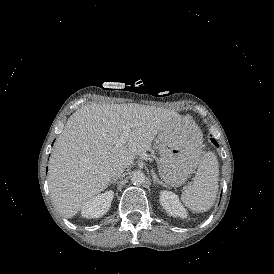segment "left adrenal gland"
Wrapping results in <instances>:
<instances>
[{"label": "left adrenal gland", "instance_id": "left-adrenal-gland-1", "mask_svg": "<svg viewBox=\"0 0 274 274\" xmlns=\"http://www.w3.org/2000/svg\"><path fill=\"white\" fill-rule=\"evenodd\" d=\"M151 174L153 176L154 186H162V183L158 180L157 175L154 170H151Z\"/></svg>", "mask_w": 274, "mask_h": 274}]
</instances>
